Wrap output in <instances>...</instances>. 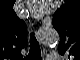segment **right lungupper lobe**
<instances>
[{"label": "right lung upper lobe", "instance_id": "obj_1", "mask_svg": "<svg viewBox=\"0 0 80 60\" xmlns=\"http://www.w3.org/2000/svg\"><path fill=\"white\" fill-rule=\"evenodd\" d=\"M14 22V23H13ZM10 26V24H9ZM11 26L12 28L14 29V26H15V33H16V36H17V39L15 37V33L12 31L11 27H10V37H11V40L17 45V43L19 44V41L20 42H24V40L26 39L25 35H24V32H23V22L21 20H19L18 18H15L13 17V21H11ZM18 26V28H17Z\"/></svg>", "mask_w": 80, "mask_h": 60}]
</instances>
